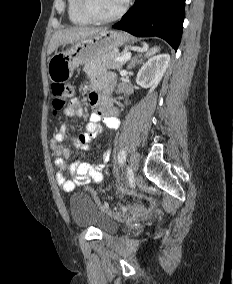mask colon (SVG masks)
Returning a JSON list of instances; mask_svg holds the SVG:
<instances>
[{"instance_id": "5ec220e1", "label": "colon", "mask_w": 233, "mask_h": 284, "mask_svg": "<svg viewBox=\"0 0 233 284\" xmlns=\"http://www.w3.org/2000/svg\"><path fill=\"white\" fill-rule=\"evenodd\" d=\"M157 51L155 48H151L148 50L147 54L152 55ZM73 95V86L68 83H54L52 85V105L54 110L58 111L63 109L70 98ZM93 198V201L98 206V208L108 214L118 216V217H125L127 214L132 216H140L144 213V208L140 204L132 205L129 207H122L119 209L111 210L107 204L101 201V199L91 190L87 189Z\"/></svg>"}]
</instances>
